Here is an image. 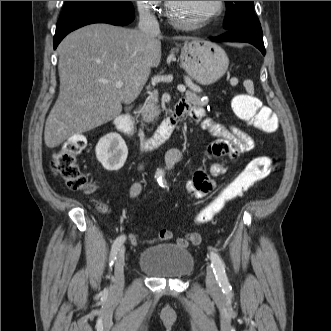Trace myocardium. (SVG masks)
I'll return each instance as SVG.
<instances>
[{"mask_svg": "<svg viewBox=\"0 0 331 331\" xmlns=\"http://www.w3.org/2000/svg\"><path fill=\"white\" fill-rule=\"evenodd\" d=\"M172 2L171 1H166V10H165V14L168 18V20L175 26L177 27H182V28H187V27H200L206 23H209L211 21H213L214 19L218 18L222 12H223V1H215V7L214 10L207 14L206 16H204L203 18L199 19L198 21H195L191 24L182 22L177 20L173 13H172Z\"/></svg>", "mask_w": 331, "mask_h": 331, "instance_id": "obj_1", "label": "myocardium"}]
</instances>
